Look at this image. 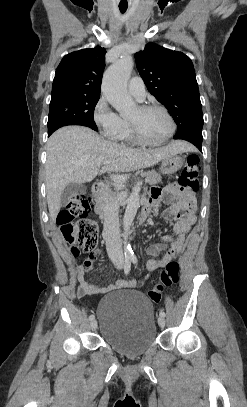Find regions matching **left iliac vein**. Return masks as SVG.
I'll use <instances>...</instances> for the list:
<instances>
[{"mask_svg":"<svg viewBox=\"0 0 247 407\" xmlns=\"http://www.w3.org/2000/svg\"><path fill=\"white\" fill-rule=\"evenodd\" d=\"M158 324H159V326L162 327V328L165 326V319H164V317H161V316H160V317L158 318Z\"/></svg>","mask_w":247,"mask_h":407,"instance_id":"4c4485c4","label":"left iliac vein"}]
</instances>
